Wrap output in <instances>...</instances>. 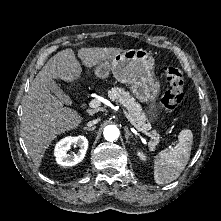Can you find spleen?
Instances as JSON below:
<instances>
[{"label":"spleen","instance_id":"spleen-1","mask_svg":"<svg viewBox=\"0 0 221 221\" xmlns=\"http://www.w3.org/2000/svg\"><path fill=\"white\" fill-rule=\"evenodd\" d=\"M192 144L191 130L183 129L174 148L158 153L154 161V180L157 184L170 183L180 176L189 161Z\"/></svg>","mask_w":221,"mask_h":221}]
</instances>
